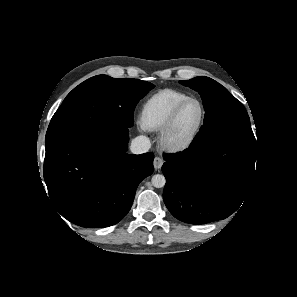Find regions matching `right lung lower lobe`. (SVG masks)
Wrapping results in <instances>:
<instances>
[{
	"mask_svg": "<svg viewBox=\"0 0 297 297\" xmlns=\"http://www.w3.org/2000/svg\"><path fill=\"white\" fill-rule=\"evenodd\" d=\"M128 128L93 130L46 151L44 180L60 214L87 228L118 223L139 183L153 172V154L126 153Z\"/></svg>",
	"mask_w": 297,
	"mask_h": 297,
	"instance_id": "98d812e1",
	"label": "right lung lower lobe"
}]
</instances>
